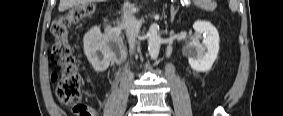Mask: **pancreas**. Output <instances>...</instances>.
<instances>
[{
  "label": "pancreas",
  "instance_id": "cf45deb5",
  "mask_svg": "<svg viewBox=\"0 0 283 116\" xmlns=\"http://www.w3.org/2000/svg\"><path fill=\"white\" fill-rule=\"evenodd\" d=\"M206 10L212 11L214 9V7H206Z\"/></svg>",
  "mask_w": 283,
  "mask_h": 116
}]
</instances>
